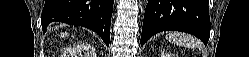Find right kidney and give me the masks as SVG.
Here are the masks:
<instances>
[{
    "instance_id": "obj_1",
    "label": "right kidney",
    "mask_w": 249,
    "mask_h": 57,
    "mask_svg": "<svg viewBox=\"0 0 249 57\" xmlns=\"http://www.w3.org/2000/svg\"><path fill=\"white\" fill-rule=\"evenodd\" d=\"M88 49H91L90 46L87 47ZM76 55L75 51H70L69 53H64L63 56L64 57H74Z\"/></svg>"
}]
</instances>
